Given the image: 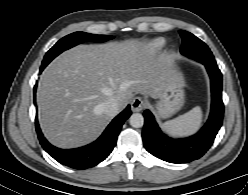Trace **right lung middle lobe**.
<instances>
[{"label": "right lung middle lobe", "instance_id": "dd1d6c3e", "mask_svg": "<svg viewBox=\"0 0 248 195\" xmlns=\"http://www.w3.org/2000/svg\"><path fill=\"white\" fill-rule=\"evenodd\" d=\"M112 36L95 35L85 32H74L60 39L45 55L42 66H47L56 56L63 51L80 44L83 41L91 40L103 42L112 39Z\"/></svg>", "mask_w": 248, "mask_h": 195}]
</instances>
